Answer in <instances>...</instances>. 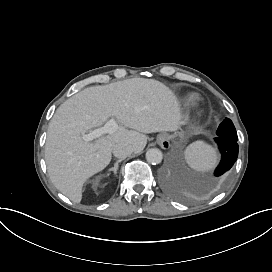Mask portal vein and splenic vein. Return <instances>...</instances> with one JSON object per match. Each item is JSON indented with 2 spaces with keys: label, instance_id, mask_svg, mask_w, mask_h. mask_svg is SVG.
Instances as JSON below:
<instances>
[{
  "label": "portal vein and splenic vein",
  "instance_id": "portal-vein-and-splenic-vein-1",
  "mask_svg": "<svg viewBox=\"0 0 272 272\" xmlns=\"http://www.w3.org/2000/svg\"><path fill=\"white\" fill-rule=\"evenodd\" d=\"M118 130V124L114 119H110L103 127L97 128L88 134H83L82 138L86 142H90L104 134H113Z\"/></svg>",
  "mask_w": 272,
  "mask_h": 272
}]
</instances>
